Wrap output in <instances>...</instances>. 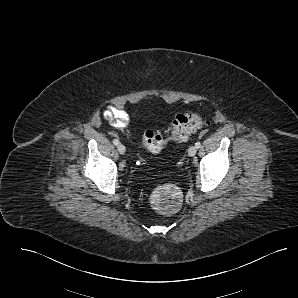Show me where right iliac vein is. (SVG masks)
Instances as JSON below:
<instances>
[{"instance_id":"1","label":"right iliac vein","mask_w":298,"mask_h":298,"mask_svg":"<svg viewBox=\"0 0 298 298\" xmlns=\"http://www.w3.org/2000/svg\"><path fill=\"white\" fill-rule=\"evenodd\" d=\"M117 149L120 154H124L126 152V148L123 144H119Z\"/></svg>"}]
</instances>
